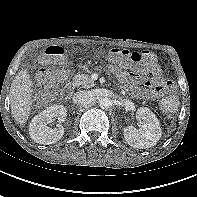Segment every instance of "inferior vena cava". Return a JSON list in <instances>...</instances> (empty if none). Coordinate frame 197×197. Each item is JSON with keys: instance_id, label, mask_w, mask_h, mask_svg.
Wrapping results in <instances>:
<instances>
[{"instance_id": "1", "label": "inferior vena cava", "mask_w": 197, "mask_h": 197, "mask_svg": "<svg viewBox=\"0 0 197 197\" xmlns=\"http://www.w3.org/2000/svg\"><path fill=\"white\" fill-rule=\"evenodd\" d=\"M89 99H90L89 92L80 90L74 94L73 103L78 104V105H82V104L86 103L87 101H89Z\"/></svg>"}]
</instances>
